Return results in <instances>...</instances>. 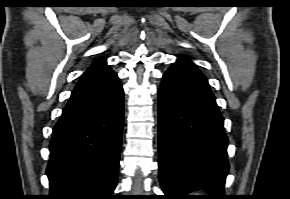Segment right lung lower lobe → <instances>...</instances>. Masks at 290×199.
Returning a JSON list of instances; mask_svg holds the SVG:
<instances>
[{
    "label": "right lung lower lobe",
    "instance_id": "right-lung-lower-lobe-1",
    "mask_svg": "<svg viewBox=\"0 0 290 199\" xmlns=\"http://www.w3.org/2000/svg\"><path fill=\"white\" fill-rule=\"evenodd\" d=\"M123 118L124 94L118 78L70 97L49 145L48 199H113Z\"/></svg>",
    "mask_w": 290,
    "mask_h": 199
}]
</instances>
